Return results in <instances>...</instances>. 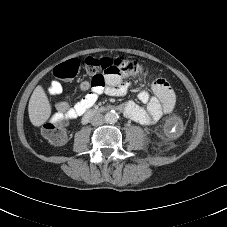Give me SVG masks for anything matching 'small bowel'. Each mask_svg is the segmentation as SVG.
<instances>
[{"label":"small bowel","instance_id":"small-bowel-1","mask_svg":"<svg viewBox=\"0 0 227 227\" xmlns=\"http://www.w3.org/2000/svg\"><path fill=\"white\" fill-rule=\"evenodd\" d=\"M141 71L142 69H138L125 72L123 75H105L103 85H94L91 81L83 80L79 87L89 92L73 106L63 99L55 98L61 94L62 89L52 86L48 96L55 109L53 119H57L60 114H67L70 120L76 119L92 107L104 92L112 96L127 94L132 90L133 84L123 78H129ZM152 90L154 96H151L146 89H140L137 97L145 106L142 107L132 100L126 101L122 105L124 114L134 121L149 125L156 123L163 115L171 113L176 105V97L170 83L163 78H156L152 82Z\"/></svg>","mask_w":227,"mask_h":227}]
</instances>
